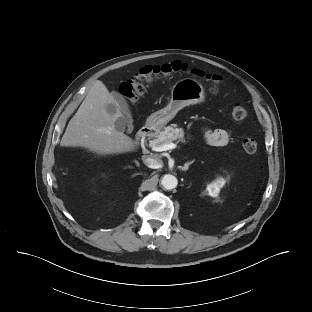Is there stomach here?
<instances>
[{"mask_svg":"<svg viewBox=\"0 0 312 312\" xmlns=\"http://www.w3.org/2000/svg\"><path fill=\"white\" fill-rule=\"evenodd\" d=\"M205 100V90L195 79L179 80L171 89L170 101L166 107L151 114L146 124L152 129H161L186 106L200 104Z\"/></svg>","mask_w":312,"mask_h":312,"instance_id":"1","label":"stomach"}]
</instances>
